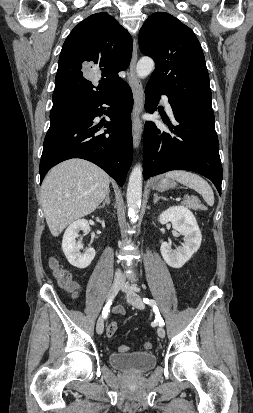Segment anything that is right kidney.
<instances>
[{
	"label": "right kidney",
	"instance_id": "ca27d5eb",
	"mask_svg": "<svg viewBox=\"0 0 253 413\" xmlns=\"http://www.w3.org/2000/svg\"><path fill=\"white\" fill-rule=\"evenodd\" d=\"M80 230H83L85 233L89 231L87 220L80 219L68 226L63 236L62 250L71 265L84 269L91 264L96 253L93 248H86L83 253L80 252L83 245L81 241H76Z\"/></svg>",
	"mask_w": 253,
	"mask_h": 413
}]
</instances>
